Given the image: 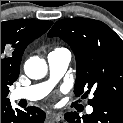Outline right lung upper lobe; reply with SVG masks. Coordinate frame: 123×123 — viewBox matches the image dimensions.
<instances>
[{
	"label": "right lung upper lobe",
	"mask_w": 123,
	"mask_h": 123,
	"mask_svg": "<svg viewBox=\"0 0 123 123\" xmlns=\"http://www.w3.org/2000/svg\"><path fill=\"white\" fill-rule=\"evenodd\" d=\"M52 21L17 19L1 22V99L18 78L25 48L43 35Z\"/></svg>",
	"instance_id": "obj_1"
}]
</instances>
